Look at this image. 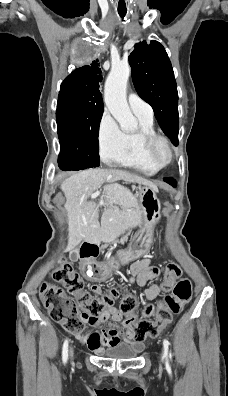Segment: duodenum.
<instances>
[{"mask_svg": "<svg viewBox=\"0 0 228 396\" xmlns=\"http://www.w3.org/2000/svg\"><path fill=\"white\" fill-rule=\"evenodd\" d=\"M82 251L87 255L98 252V246L92 239H87L82 245Z\"/></svg>", "mask_w": 228, "mask_h": 396, "instance_id": "1", "label": "duodenum"}]
</instances>
